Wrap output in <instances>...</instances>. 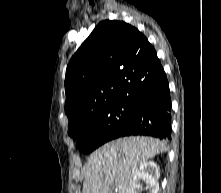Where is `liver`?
I'll return each mask as SVG.
<instances>
[{"mask_svg":"<svg viewBox=\"0 0 221 193\" xmlns=\"http://www.w3.org/2000/svg\"><path fill=\"white\" fill-rule=\"evenodd\" d=\"M165 151V144L152 137H124L104 144L88 159L82 193H130L138 167Z\"/></svg>","mask_w":221,"mask_h":193,"instance_id":"liver-1","label":"liver"}]
</instances>
